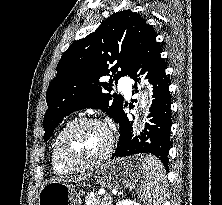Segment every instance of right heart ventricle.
Segmentation results:
<instances>
[{"label":"right heart ventricle","mask_w":222,"mask_h":205,"mask_svg":"<svg viewBox=\"0 0 222 205\" xmlns=\"http://www.w3.org/2000/svg\"><path fill=\"white\" fill-rule=\"evenodd\" d=\"M61 132H62V130L59 132V134L55 138V140L53 142V145H52V149H51L52 168H53V171L57 175H64V174H67V173H70V172L74 171V169H70V168H67V167L63 166L60 163V161L58 160L57 153H56V143H57L58 137H59Z\"/></svg>","instance_id":"e07e8e85"}]
</instances>
